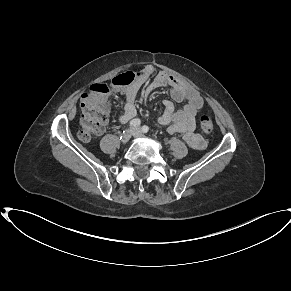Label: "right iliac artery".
I'll return each mask as SVG.
<instances>
[{
  "mask_svg": "<svg viewBox=\"0 0 291 291\" xmlns=\"http://www.w3.org/2000/svg\"><path fill=\"white\" fill-rule=\"evenodd\" d=\"M140 124H141L140 119H133L132 121H130V123H129V127H130V128L138 127V126H140ZM123 133H124V132H123Z\"/></svg>",
  "mask_w": 291,
  "mask_h": 291,
  "instance_id": "obj_1",
  "label": "right iliac artery"
}]
</instances>
